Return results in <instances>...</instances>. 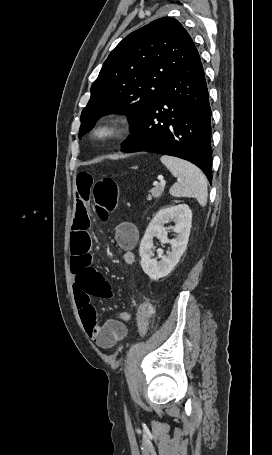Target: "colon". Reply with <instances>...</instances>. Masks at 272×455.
<instances>
[{"instance_id": "1", "label": "colon", "mask_w": 272, "mask_h": 455, "mask_svg": "<svg viewBox=\"0 0 272 455\" xmlns=\"http://www.w3.org/2000/svg\"><path fill=\"white\" fill-rule=\"evenodd\" d=\"M92 196L97 215L101 220H107L116 209L119 199V188L116 182L108 177L98 179L95 182ZM152 314L153 307L150 303L143 302L139 305L136 312V322L141 337L148 333Z\"/></svg>"}]
</instances>
